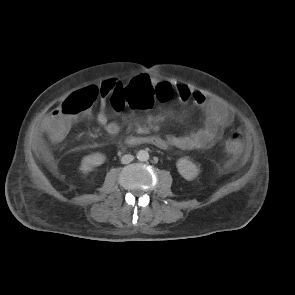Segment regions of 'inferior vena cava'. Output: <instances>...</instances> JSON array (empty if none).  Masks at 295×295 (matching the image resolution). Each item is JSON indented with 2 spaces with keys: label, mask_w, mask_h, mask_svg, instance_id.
I'll return each mask as SVG.
<instances>
[{
  "label": "inferior vena cava",
  "mask_w": 295,
  "mask_h": 295,
  "mask_svg": "<svg viewBox=\"0 0 295 295\" xmlns=\"http://www.w3.org/2000/svg\"><path fill=\"white\" fill-rule=\"evenodd\" d=\"M133 159H134L133 155L125 154V155L122 156L121 162L123 164H128V163L132 162Z\"/></svg>",
  "instance_id": "1"
}]
</instances>
